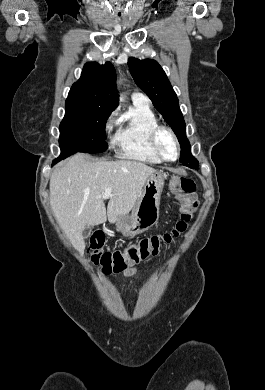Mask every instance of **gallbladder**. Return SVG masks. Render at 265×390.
I'll return each mask as SVG.
<instances>
[{"label": "gallbladder", "instance_id": "obj_1", "mask_svg": "<svg viewBox=\"0 0 265 390\" xmlns=\"http://www.w3.org/2000/svg\"><path fill=\"white\" fill-rule=\"evenodd\" d=\"M91 234V228L90 226H85V228L83 229V232H82V235L84 238H88Z\"/></svg>", "mask_w": 265, "mask_h": 390}]
</instances>
